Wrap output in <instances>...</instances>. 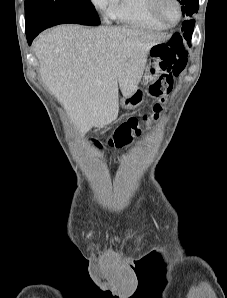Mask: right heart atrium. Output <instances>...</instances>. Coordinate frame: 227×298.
<instances>
[{"instance_id": "d8ad5b80", "label": "right heart atrium", "mask_w": 227, "mask_h": 298, "mask_svg": "<svg viewBox=\"0 0 227 298\" xmlns=\"http://www.w3.org/2000/svg\"><path fill=\"white\" fill-rule=\"evenodd\" d=\"M94 6L104 9L108 0H91Z\"/></svg>"}]
</instances>
